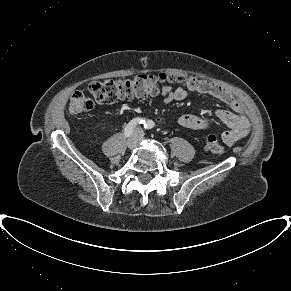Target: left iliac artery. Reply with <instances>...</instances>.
<instances>
[{
    "label": "left iliac artery",
    "instance_id": "1",
    "mask_svg": "<svg viewBox=\"0 0 291 291\" xmlns=\"http://www.w3.org/2000/svg\"><path fill=\"white\" fill-rule=\"evenodd\" d=\"M154 127V122L151 120H147L144 124L145 129H152Z\"/></svg>",
    "mask_w": 291,
    "mask_h": 291
}]
</instances>
